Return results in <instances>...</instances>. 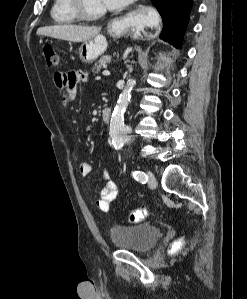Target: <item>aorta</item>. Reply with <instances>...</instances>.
I'll return each mask as SVG.
<instances>
[{
  "mask_svg": "<svg viewBox=\"0 0 247 299\" xmlns=\"http://www.w3.org/2000/svg\"><path fill=\"white\" fill-rule=\"evenodd\" d=\"M135 84L136 82L133 79L127 81L126 87L120 94L111 116L109 134L112 138V144L116 149L121 148L130 139L131 130L124 123V114L129 105L132 89Z\"/></svg>",
  "mask_w": 247,
  "mask_h": 299,
  "instance_id": "obj_1",
  "label": "aorta"
}]
</instances>
